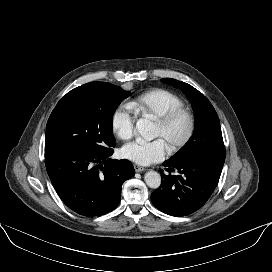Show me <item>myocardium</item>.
Returning a JSON list of instances; mask_svg holds the SVG:
<instances>
[{"mask_svg":"<svg viewBox=\"0 0 272 272\" xmlns=\"http://www.w3.org/2000/svg\"><path fill=\"white\" fill-rule=\"evenodd\" d=\"M180 117H184L187 120V130L180 140L168 147L171 153L183 148L192 138L196 126L195 116L188 108L177 107L169 110L167 113L156 119V123L158 125L162 128H167Z\"/></svg>","mask_w":272,"mask_h":272,"instance_id":"obj_1","label":"myocardium"}]
</instances>
